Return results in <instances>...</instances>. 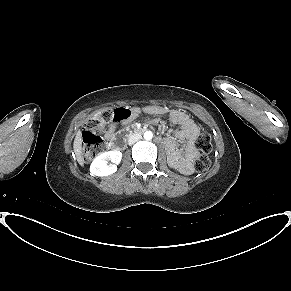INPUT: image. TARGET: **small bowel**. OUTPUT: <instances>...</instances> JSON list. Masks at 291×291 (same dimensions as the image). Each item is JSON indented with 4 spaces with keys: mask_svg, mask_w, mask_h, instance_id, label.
<instances>
[{
    "mask_svg": "<svg viewBox=\"0 0 291 291\" xmlns=\"http://www.w3.org/2000/svg\"><path fill=\"white\" fill-rule=\"evenodd\" d=\"M130 116L127 119L115 121L112 123L105 135L106 140L112 143L114 137H116V129L118 124H126L130 119H135L141 112L153 115H168L169 120L172 124L178 125L180 128L176 131L175 136L186 142L184 154L178 150L176 145L171 139H166L165 144L167 145L169 157L173 163L178 165L180 170L189 174L192 172L191 161L196 157L197 151L195 148V140L198 134V126L191 119V117L180 109L167 108L164 106L150 105L144 108L135 107L130 110ZM157 122V121H154Z\"/></svg>",
    "mask_w": 291,
    "mask_h": 291,
    "instance_id": "1",
    "label": "small bowel"
}]
</instances>
